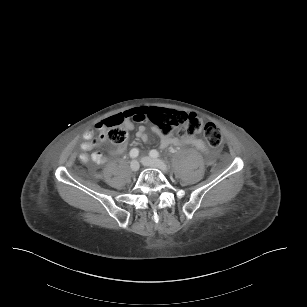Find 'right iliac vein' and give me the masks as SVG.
Here are the masks:
<instances>
[{
    "label": "right iliac vein",
    "mask_w": 307,
    "mask_h": 307,
    "mask_svg": "<svg viewBox=\"0 0 307 307\" xmlns=\"http://www.w3.org/2000/svg\"><path fill=\"white\" fill-rule=\"evenodd\" d=\"M130 168L133 172H137L140 168V164L137 160L131 161Z\"/></svg>",
    "instance_id": "obj_1"
}]
</instances>
